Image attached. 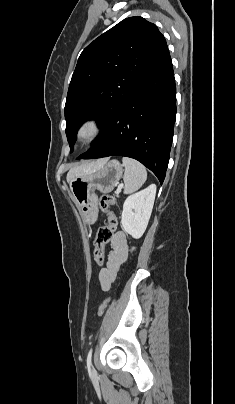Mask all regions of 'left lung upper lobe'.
<instances>
[{
    "mask_svg": "<svg viewBox=\"0 0 235 404\" xmlns=\"http://www.w3.org/2000/svg\"><path fill=\"white\" fill-rule=\"evenodd\" d=\"M167 50L156 25L139 16L122 20L83 50L65 104L70 152L79 126L96 116L103 130L137 82Z\"/></svg>",
    "mask_w": 235,
    "mask_h": 404,
    "instance_id": "obj_1",
    "label": "left lung upper lobe"
}]
</instances>
